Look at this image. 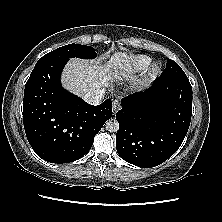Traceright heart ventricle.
<instances>
[{"mask_svg":"<svg viewBox=\"0 0 222 222\" xmlns=\"http://www.w3.org/2000/svg\"><path fill=\"white\" fill-rule=\"evenodd\" d=\"M151 62V59L145 55H137L130 57L122 66L120 74L129 77L145 70Z\"/></svg>","mask_w":222,"mask_h":222,"instance_id":"right-heart-ventricle-1","label":"right heart ventricle"}]
</instances>
